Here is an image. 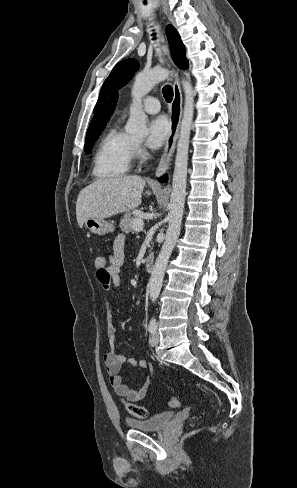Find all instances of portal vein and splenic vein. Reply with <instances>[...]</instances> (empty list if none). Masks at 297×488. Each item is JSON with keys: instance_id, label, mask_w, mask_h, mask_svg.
Returning a JSON list of instances; mask_svg holds the SVG:
<instances>
[{"instance_id": "portal-vein-and-splenic-vein-1", "label": "portal vein and splenic vein", "mask_w": 297, "mask_h": 488, "mask_svg": "<svg viewBox=\"0 0 297 488\" xmlns=\"http://www.w3.org/2000/svg\"><path fill=\"white\" fill-rule=\"evenodd\" d=\"M144 222L141 218H136L133 220V228L135 231L143 230Z\"/></svg>"}]
</instances>
